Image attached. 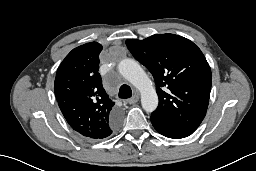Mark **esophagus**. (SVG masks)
Instances as JSON below:
<instances>
[{
    "label": "esophagus",
    "mask_w": 256,
    "mask_h": 171,
    "mask_svg": "<svg viewBox=\"0 0 256 171\" xmlns=\"http://www.w3.org/2000/svg\"><path fill=\"white\" fill-rule=\"evenodd\" d=\"M138 100H139V96L135 94L132 98L128 99L127 102L129 104H135L136 102H138Z\"/></svg>",
    "instance_id": "34e87169"
}]
</instances>
